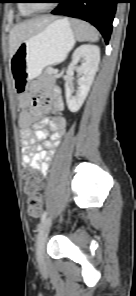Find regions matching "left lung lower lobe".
<instances>
[{
	"mask_svg": "<svg viewBox=\"0 0 136 296\" xmlns=\"http://www.w3.org/2000/svg\"><path fill=\"white\" fill-rule=\"evenodd\" d=\"M51 13L80 18L93 24L102 34L106 44L110 39L116 4L119 0H61Z\"/></svg>",
	"mask_w": 136,
	"mask_h": 296,
	"instance_id": "0a47b994",
	"label": "left lung lower lobe"
}]
</instances>
